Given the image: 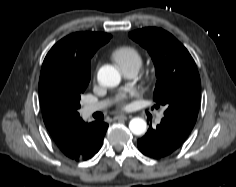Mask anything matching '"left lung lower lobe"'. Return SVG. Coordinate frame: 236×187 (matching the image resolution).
Returning <instances> with one entry per match:
<instances>
[{"label": "left lung lower lobe", "mask_w": 236, "mask_h": 187, "mask_svg": "<svg viewBox=\"0 0 236 187\" xmlns=\"http://www.w3.org/2000/svg\"><path fill=\"white\" fill-rule=\"evenodd\" d=\"M190 132L177 123L163 118L156 128L150 125L147 133L137 141L138 148L150 158H162L178 149Z\"/></svg>", "instance_id": "obj_1"}]
</instances>
